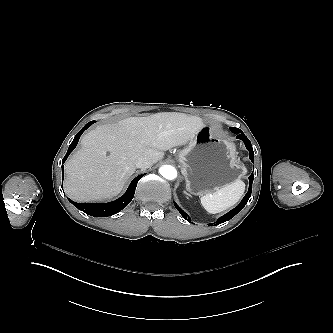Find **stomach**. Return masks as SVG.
<instances>
[{
    "label": "stomach",
    "mask_w": 333,
    "mask_h": 333,
    "mask_svg": "<svg viewBox=\"0 0 333 333\" xmlns=\"http://www.w3.org/2000/svg\"><path fill=\"white\" fill-rule=\"evenodd\" d=\"M192 195L202 196L226 186L246 174L238 160L233 143L212 136L209 127L203 130L175 155Z\"/></svg>",
    "instance_id": "1"
}]
</instances>
